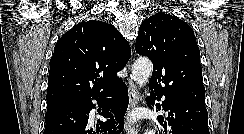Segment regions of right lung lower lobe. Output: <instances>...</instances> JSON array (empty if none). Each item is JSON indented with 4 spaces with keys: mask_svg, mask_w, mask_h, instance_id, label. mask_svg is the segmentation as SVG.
Listing matches in <instances>:
<instances>
[{
    "mask_svg": "<svg viewBox=\"0 0 244 134\" xmlns=\"http://www.w3.org/2000/svg\"><path fill=\"white\" fill-rule=\"evenodd\" d=\"M107 96H112L106 99ZM92 100L104 103L101 115L107 122L97 121L96 130L90 127L89 113L95 107ZM128 107V92L120 79L103 93L75 98L47 109L43 134H118L123 130L124 114Z\"/></svg>",
    "mask_w": 244,
    "mask_h": 134,
    "instance_id": "1",
    "label": "right lung lower lobe"
}]
</instances>
